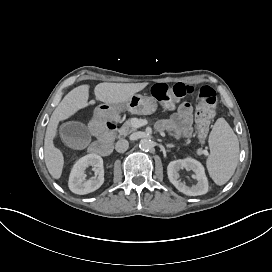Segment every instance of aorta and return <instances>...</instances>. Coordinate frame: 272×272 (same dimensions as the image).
<instances>
[{
	"mask_svg": "<svg viewBox=\"0 0 272 272\" xmlns=\"http://www.w3.org/2000/svg\"><path fill=\"white\" fill-rule=\"evenodd\" d=\"M139 145H140V149L142 151H149L154 147L153 141L151 139H149V138L142 139L140 141Z\"/></svg>",
	"mask_w": 272,
	"mask_h": 272,
	"instance_id": "obj_1",
	"label": "aorta"
}]
</instances>
